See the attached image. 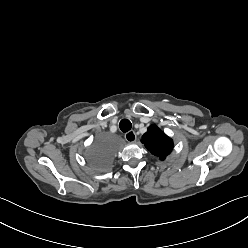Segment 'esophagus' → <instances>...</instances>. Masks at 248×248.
<instances>
[{
  "mask_svg": "<svg viewBox=\"0 0 248 248\" xmlns=\"http://www.w3.org/2000/svg\"><path fill=\"white\" fill-rule=\"evenodd\" d=\"M125 139L126 141L130 142V143H133L136 141L137 137H136V134L134 131H128L126 134H125Z\"/></svg>",
  "mask_w": 248,
  "mask_h": 248,
  "instance_id": "obj_1",
  "label": "esophagus"
}]
</instances>
